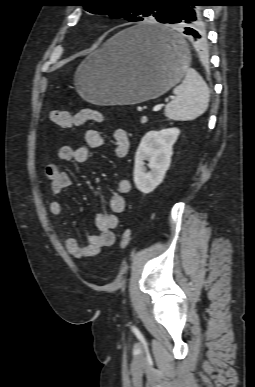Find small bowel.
<instances>
[{
	"instance_id": "small-bowel-1",
	"label": "small bowel",
	"mask_w": 255,
	"mask_h": 387,
	"mask_svg": "<svg viewBox=\"0 0 255 387\" xmlns=\"http://www.w3.org/2000/svg\"><path fill=\"white\" fill-rule=\"evenodd\" d=\"M84 141L85 146L76 148L70 145L61 146L57 152V160L85 163L89 159V149L99 148L106 143L104 136L96 129L86 130ZM111 146L114 155L118 158H123L128 154L130 139L124 129L116 128L113 131ZM45 176L54 195L61 194L71 186L69 174L62 170L57 162H51L45 166ZM130 190L131 182L129 179L120 178L117 181L116 193L110 197L107 210H98L94 214V223L98 233L91 234L86 245L79 244L76 238L67 234L65 246L71 255L78 259L92 258L98 256L103 248L113 245L115 240L113 229L118 225V214L125 209L124 195ZM49 210L53 216L59 217L63 214L64 207L60 201H52Z\"/></svg>"
}]
</instances>
